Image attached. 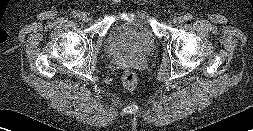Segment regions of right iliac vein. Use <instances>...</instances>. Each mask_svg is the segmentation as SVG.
Returning a JSON list of instances; mask_svg holds the SVG:
<instances>
[{
    "label": "right iliac vein",
    "mask_w": 253,
    "mask_h": 131,
    "mask_svg": "<svg viewBox=\"0 0 253 131\" xmlns=\"http://www.w3.org/2000/svg\"><path fill=\"white\" fill-rule=\"evenodd\" d=\"M79 19L82 21V22H88V20H89V17H88V15L86 14V13H80L79 14Z\"/></svg>",
    "instance_id": "obj_1"
}]
</instances>
